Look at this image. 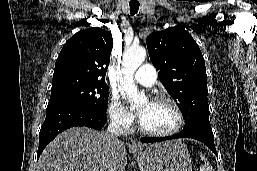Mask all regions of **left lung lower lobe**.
I'll return each instance as SVG.
<instances>
[{
	"instance_id": "obj_1",
	"label": "left lung lower lobe",
	"mask_w": 257,
	"mask_h": 171,
	"mask_svg": "<svg viewBox=\"0 0 257 171\" xmlns=\"http://www.w3.org/2000/svg\"><path fill=\"white\" fill-rule=\"evenodd\" d=\"M178 138H192L198 141L203 142L210 150L217 155V151L214 145V135L211 127L203 126V125H193L190 127L184 128L180 133L167 137H145L141 138V142L143 143H152V142H162L171 139Z\"/></svg>"
}]
</instances>
